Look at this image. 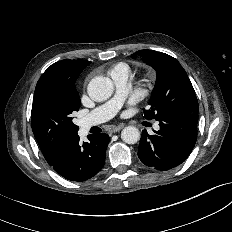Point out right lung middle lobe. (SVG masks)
I'll return each instance as SVG.
<instances>
[{
	"mask_svg": "<svg viewBox=\"0 0 232 232\" xmlns=\"http://www.w3.org/2000/svg\"><path fill=\"white\" fill-rule=\"evenodd\" d=\"M82 70L61 76L42 75L37 82L31 120L40 148H54L77 134L79 127L72 122V114L80 107L75 81Z\"/></svg>",
	"mask_w": 232,
	"mask_h": 232,
	"instance_id": "obj_1",
	"label": "right lung middle lobe"
}]
</instances>
